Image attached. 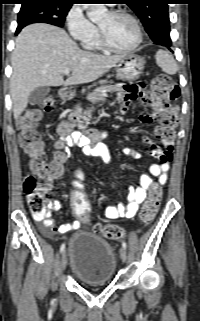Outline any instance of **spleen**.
Listing matches in <instances>:
<instances>
[{"mask_svg": "<svg viewBox=\"0 0 200 321\" xmlns=\"http://www.w3.org/2000/svg\"><path fill=\"white\" fill-rule=\"evenodd\" d=\"M157 65L169 75H174L178 71V65L169 51L158 50L155 55Z\"/></svg>", "mask_w": 200, "mask_h": 321, "instance_id": "1", "label": "spleen"}]
</instances>
